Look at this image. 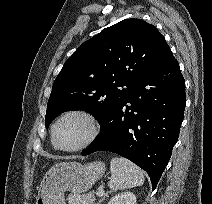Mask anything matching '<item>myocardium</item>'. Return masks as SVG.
Returning <instances> with one entry per match:
<instances>
[{
    "label": "myocardium",
    "mask_w": 212,
    "mask_h": 204,
    "mask_svg": "<svg viewBox=\"0 0 212 204\" xmlns=\"http://www.w3.org/2000/svg\"><path fill=\"white\" fill-rule=\"evenodd\" d=\"M71 116L79 117L82 120H84L88 127V133H87V136L85 137V139L77 146L65 148V147L60 146L57 143L56 137H55V130H56V127L58 126V124L62 120H64L67 117H71ZM99 132H100V124L94 114H92L89 111L82 110V109H71V110H67V111L63 112L53 123V125L51 127V140H52L54 147L60 151L77 152V151H81V150L87 148L89 145H91L94 142V140L97 138V136L99 135Z\"/></svg>",
    "instance_id": "f54148a6"
}]
</instances>
